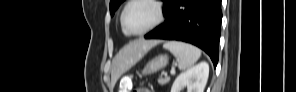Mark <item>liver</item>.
<instances>
[{"instance_id": "6515ba94", "label": "liver", "mask_w": 296, "mask_h": 92, "mask_svg": "<svg viewBox=\"0 0 296 92\" xmlns=\"http://www.w3.org/2000/svg\"><path fill=\"white\" fill-rule=\"evenodd\" d=\"M158 40H137L123 47L112 62L111 84L115 85L119 77L136 64L151 48L159 44Z\"/></svg>"}]
</instances>
